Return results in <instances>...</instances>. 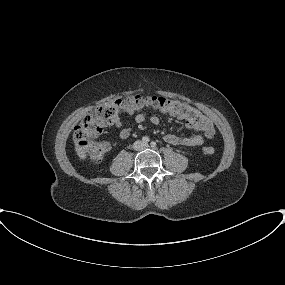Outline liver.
Masks as SVG:
<instances>
[{"label": "liver", "mask_w": 285, "mask_h": 285, "mask_svg": "<svg viewBox=\"0 0 285 285\" xmlns=\"http://www.w3.org/2000/svg\"><path fill=\"white\" fill-rule=\"evenodd\" d=\"M75 150L80 159L82 160L86 159V152L85 150H83L82 147L77 145V141H75Z\"/></svg>", "instance_id": "liver-1"}]
</instances>
